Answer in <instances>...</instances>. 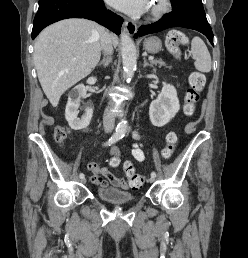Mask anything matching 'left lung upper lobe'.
Wrapping results in <instances>:
<instances>
[{"label": "left lung upper lobe", "instance_id": "5c2ea615", "mask_svg": "<svg viewBox=\"0 0 248 258\" xmlns=\"http://www.w3.org/2000/svg\"><path fill=\"white\" fill-rule=\"evenodd\" d=\"M172 8L189 4H202L201 0H171Z\"/></svg>", "mask_w": 248, "mask_h": 258}]
</instances>
